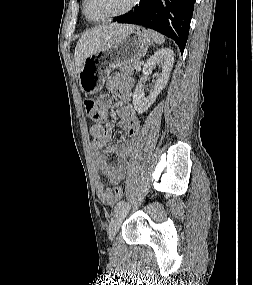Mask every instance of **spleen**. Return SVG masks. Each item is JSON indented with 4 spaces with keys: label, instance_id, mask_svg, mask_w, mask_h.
<instances>
[{
    "label": "spleen",
    "instance_id": "obj_1",
    "mask_svg": "<svg viewBox=\"0 0 253 285\" xmlns=\"http://www.w3.org/2000/svg\"><path fill=\"white\" fill-rule=\"evenodd\" d=\"M148 32H149V34L151 35V37L153 38V40H154L157 44L161 45V44L164 43L165 38H164L163 35H161L160 33L155 32V31H153V30H148Z\"/></svg>",
    "mask_w": 253,
    "mask_h": 285
}]
</instances>
